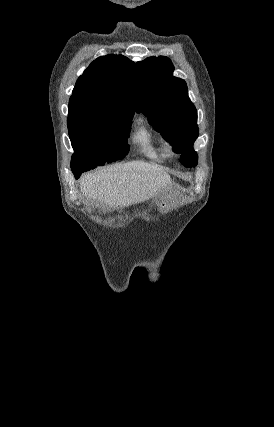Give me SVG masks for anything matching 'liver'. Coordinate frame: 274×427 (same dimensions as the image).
Returning a JSON list of instances; mask_svg holds the SVG:
<instances>
[{"instance_id": "1", "label": "liver", "mask_w": 274, "mask_h": 427, "mask_svg": "<svg viewBox=\"0 0 274 427\" xmlns=\"http://www.w3.org/2000/svg\"><path fill=\"white\" fill-rule=\"evenodd\" d=\"M169 184L171 178L163 168L137 160L88 172L80 180V190L87 200L107 204L109 208H128L156 198Z\"/></svg>"}]
</instances>
